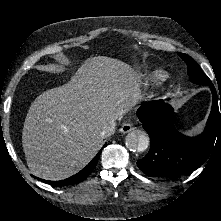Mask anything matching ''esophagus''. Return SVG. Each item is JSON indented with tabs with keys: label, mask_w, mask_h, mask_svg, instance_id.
Listing matches in <instances>:
<instances>
[{
	"label": "esophagus",
	"mask_w": 221,
	"mask_h": 221,
	"mask_svg": "<svg viewBox=\"0 0 221 221\" xmlns=\"http://www.w3.org/2000/svg\"><path fill=\"white\" fill-rule=\"evenodd\" d=\"M132 129H133V128H132L131 124H129V123H123V125L121 126V128H120L119 131H120L121 133L125 134V133L130 132Z\"/></svg>",
	"instance_id": "34e87169"
}]
</instances>
